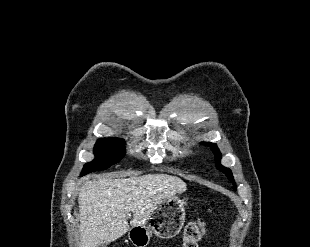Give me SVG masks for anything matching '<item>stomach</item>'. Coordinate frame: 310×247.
Listing matches in <instances>:
<instances>
[{
  "label": "stomach",
  "mask_w": 310,
  "mask_h": 247,
  "mask_svg": "<svg viewBox=\"0 0 310 247\" xmlns=\"http://www.w3.org/2000/svg\"><path fill=\"white\" fill-rule=\"evenodd\" d=\"M185 202L173 196L158 204L142 224L132 226L128 237L135 247H147L152 234L162 239L175 237L185 222Z\"/></svg>",
  "instance_id": "1"
}]
</instances>
